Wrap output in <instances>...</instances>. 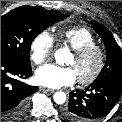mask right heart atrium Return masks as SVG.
<instances>
[{
    "label": "right heart atrium",
    "mask_w": 122,
    "mask_h": 122,
    "mask_svg": "<svg viewBox=\"0 0 122 122\" xmlns=\"http://www.w3.org/2000/svg\"><path fill=\"white\" fill-rule=\"evenodd\" d=\"M55 41L48 31H41L32 40L30 44L31 60L40 64L48 59L54 49Z\"/></svg>",
    "instance_id": "d8ad5b80"
}]
</instances>
